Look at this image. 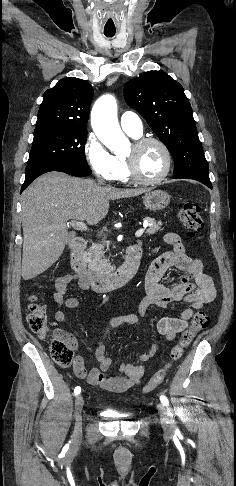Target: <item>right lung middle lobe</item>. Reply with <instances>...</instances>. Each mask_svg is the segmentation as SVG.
Segmentation results:
<instances>
[{
    "label": "right lung middle lobe",
    "instance_id": "dd1d6c3e",
    "mask_svg": "<svg viewBox=\"0 0 236 486\" xmlns=\"http://www.w3.org/2000/svg\"><path fill=\"white\" fill-rule=\"evenodd\" d=\"M87 130L35 128L28 164L54 162L88 166L85 158Z\"/></svg>",
    "mask_w": 236,
    "mask_h": 486
}]
</instances>
